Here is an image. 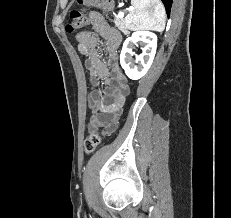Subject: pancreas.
I'll return each instance as SVG.
<instances>
[{
	"label": "pancreas",
	"mask_w": 231,
	"mask_h": 218,
	"mask_svg": "<svg viewBox=\"0 0 231 218\" xmlns=\"http://www.w3.org/2000/svg\"><path fill=\"white\" fill-rule=\"evenodd\" d=\"M114 22L121 32H123L124 34H128L127 28L124 24V20L122 18L116 17Z\"/></svg>",
	"instance_id": "pancreas-1"
}]
</instances>
